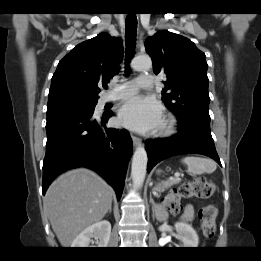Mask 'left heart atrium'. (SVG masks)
Here are the masks:
<instances>
[{"mask_svg":"<svg viewBox=\"0 0 261 261\" xmlns=\"http://www.w3.org/2000/svg\"><path fill=\"white\" fill-rule=\"evenodd\" d=\"M119 122L132 130L149 132L162 125V110L158 102L149 97L134 96L119 109Z\"/></svg>","mask_w":261,"mask_h":261,"instance_id":"left-heart-atrium-1","label":"left heart atrium"}]
</instances>
